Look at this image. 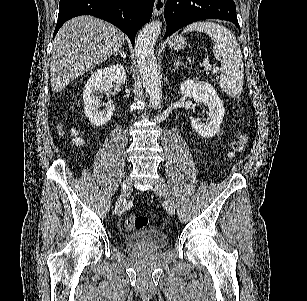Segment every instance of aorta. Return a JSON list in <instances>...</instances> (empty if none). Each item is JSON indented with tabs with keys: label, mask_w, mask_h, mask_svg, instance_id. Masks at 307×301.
<instances>
[{
	"label": "aorta",
	"mask_w": 307,
	"mask_h": 301,
	"mask_svg": "<svg viewBox=\"0 0 307 301\" xmlns=\"http://www.w3.org/2000/svg\"><path fill=\"white\" fill-rule=\"evenodd\" d=\"M162 22L151 20L141 28L135 38V56L141 74L146 96H148L153 108H162V84L154 44L161 32Z\"/></svg>",
	"instance_id": "aorta-1"
}]
</instances>
